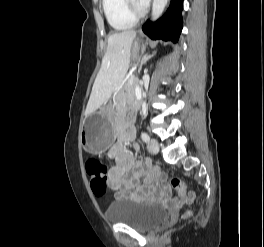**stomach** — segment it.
Wrapping results in <instances>:
<instances>
[{"mask_svg": "<svg viewBox=\"0 0 264 247\" xmlns=\"http://www.w3.org/2000/svg\"><path fill=\"white\" fill-rule=\"evenodd\" d=\"M140 49L144 44L137 40L133 47V58H139ZM114 100L107 103L99 111L86 116L80 129V142L91 154L104 152L112 143L116 128L114 124Z\"/></svg>", "mask_w": 264, "mask_h": 247, "instance_id": "stomach-1", "label": "stomach"}]
</instances>
